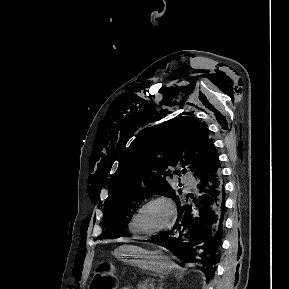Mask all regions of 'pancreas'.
<instances>
[{
  "label": "pancreas",
  "instance_id": "obj_1",
  "mask_svg": "<svg viewBox=\"0 0 289 289\" xmlns=\"http://www.w3.org/2000/svg\"><path fill=\"white\" fill-rule=\"evenodd\" d=\"M152 287L153 284L149 283V280H146L139 285L138 289H152Z\"/></svg>",
  "mask_w": 289,
  "mask_h": 289
}]
</instances>
